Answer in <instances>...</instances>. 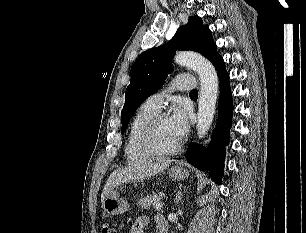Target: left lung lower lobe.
Instances as JSON below:
<instances>
[{"mask_svg": "<svg viewBox=\"0 0 306 233\" xmlns=\"http://www.w3.org/2000/svg\"><path fill=\"white\" fill-rule=\"evenodd\" d=\"M218 77L220 79L219 114L216 129L212 135V144L209 152L206 149L194 144L186 152L187 161L201 169L207 170L213 180L222 183L224 170L225 145L229 142V129L233 104L229 85V75L225 69L223 58L219 55L213 61ZM227 123L224 127V123Z\"/></svg>", "mask_w": 306, "mask_h": 233, "instance_id": "1", "label": "left lung lower lobe"}]
</instances>
